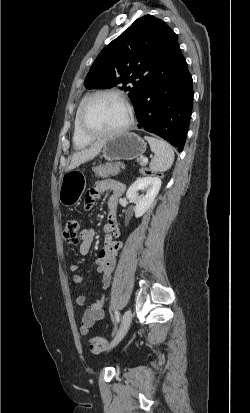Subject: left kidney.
Segmentation results:
<instances>
[{
  "instance_id": "left-kidney-1",
  "label": "left kidney",
  "mask_w": 250,
  "mask_h": 413,
  "mask_svg": "<svg viewBox=\"0 0 250 413\" xmlns=\"http://www.w3.org/2000/svg\"><path fill=\"white\" fill-rule=\"evenodd\" d=\"M161 180L156 176L138 178L127 190L126 197L135 203V217H141L152 205L159 193ZM144 194L139 196L138 192Z\"/></svg>"
}]
</instances>
